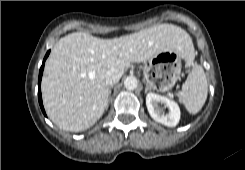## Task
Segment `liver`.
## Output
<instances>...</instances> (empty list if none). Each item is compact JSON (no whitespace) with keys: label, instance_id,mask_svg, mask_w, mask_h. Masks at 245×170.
<instances>
[{"label":"liver","instance_id":"1","mask_svg":"<svg viewBox=\"0 0 245 170\" xmlns=\"http://www.w3.org/2000/svg\"><path fill=\"white\" fill-rule=\"evenodd\" d=\"M167 50L193 59L190 36L172 24H160L114 39L75 32L61 38L45 63L41 83L48 117L59 128L79 132L95 124L108 105L109 69L122 71Z\"/></svg>","mask_w":245,"mask_h":170}]
</instances>
